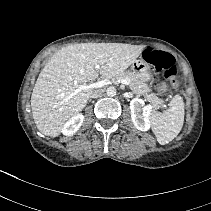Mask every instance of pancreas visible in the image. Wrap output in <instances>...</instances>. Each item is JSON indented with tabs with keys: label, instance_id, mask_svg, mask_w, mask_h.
<instances>
[{
	"label": "pancreas",
	"instance_id": "obj_1",
	"mask_svg": "<svg viewBox=\"0 0 211 211\" xmlns=\"http://www.w3.org/2000/svg\"><path fill=\"white\" fill-rule=\"evenodd\" d=\"M122 79L129 82V87L133 93L138 96H144L145 100L153 103L155 106L159 107L164 103V101L158 98L156 94L150 93L151 89L147 86V84L137 79L132 72H122L114 77V80Z\"/></svg>",
	"mask_w": 211,
	"mask_h": 211
}]
</instances>
